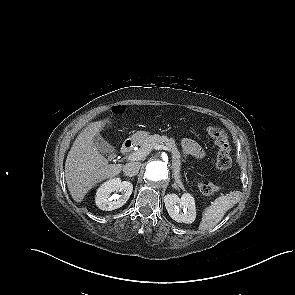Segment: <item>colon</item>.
I'll list each match as a JSON object with an SVG mask.
<instances>
[{
	"label": "colon",
	"mask_w": 295,
	"mask_h": 295,
	"mask_svg": "<svg viewBox=\"0 0 295 295\" xmlns=\"http://www.w3.org/2000/svg\"><path fill=\"white\" fill-rule=\"evenodd\" d=\"M115 113L124 112V108L118 106L114 109ZM208 133L214 140L218 152L216 158V166L219 170H227L232 164L231 147L224 132L218 126H210ZM200 191L205 195H211L220 190V187L210 181L204 180L199 184Z\"/></svg>",
	"instance_id": "1"
}]
</instances>
